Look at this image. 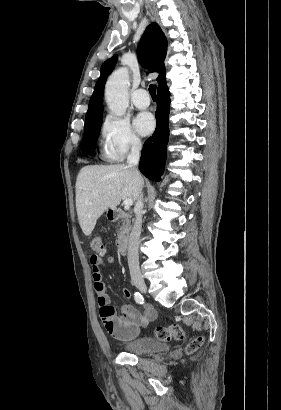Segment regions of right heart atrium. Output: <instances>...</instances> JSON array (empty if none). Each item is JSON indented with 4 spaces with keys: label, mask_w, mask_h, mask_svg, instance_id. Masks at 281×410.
Here are the masks:
<instances>
[{
    "label": "right heart atrium",
    "mask_w": 281,
    "mask_h": 410,
    "mask_svg": "<svg viewBox=\"0 0 281 410\" xmlns=\"http://www.w3.org/2000/svg\"><path fill=\"white\" fill-rule=\"evenodd\" d=\"M100 133L102 153L111 161H120L129 152L142 147L141 139L125 118L108 114L101 124Z\"/></svg>",
    "instance_id": "1"
}]
</instances>
